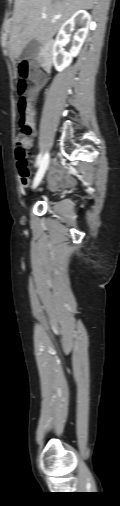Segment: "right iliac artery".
Wrapping results in <instances>:
<instances>
[{
    "label": "right iliac artery",
    "mask_w": 120,
    "mask_h": 506,
    "mask_svg": "<svg viewBox=\"0 0 120 506\" xmlns=\"http://www.w3.org/2000/svg\"><path fill=\"white\" fill-rule=\"evenodd\" d=\"M42 160H43V158H42V154L40 153V154L37 156V165H38V166H41V167H42V169H43V171H45V169H46V168H47V166H48V161H44V162H43V164H42ZM41 164H42V165H41ZM42 176H43V172L38 174L39 179H41V178H42Z\"/></svg>",
    "instance_id": "obj_1"
}]
</instances>
